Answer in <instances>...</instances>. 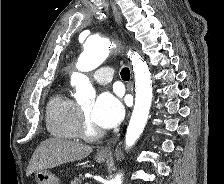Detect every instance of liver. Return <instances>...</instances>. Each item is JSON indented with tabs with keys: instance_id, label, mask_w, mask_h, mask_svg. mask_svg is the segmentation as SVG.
<instances>
[{
	"instance_id": "1",
	"label": "liver",
	"mask_w": 224,
	"mask_h": 184,
	"mask_svg": "<svg viewBox=\"0 0 224 184\" xmlns=\"http://www.w3.org/2000/svg\"><path fill=\"white\" fill-rule=\"evenodd\" d=\"M92 152V147L75 141L49 138L41 142L28 164L26 175L55 168L63 163L84 159Z\"/></svg>"
}]
</instances>
